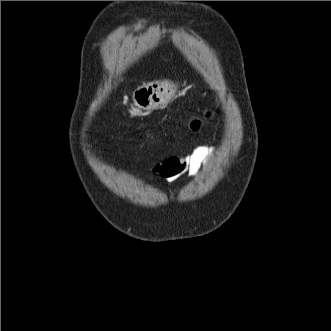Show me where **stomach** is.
Here are the masks:
<instances>
[{"mask_svg": "<svg viewBox=\"0 0 331 331\" xmlns=\"http://www.w3.org/2000/svg\"><path fill=\"white\" fill-rule=\"evenodd\" d=\"M176 92L169 81H152L138 86L133 92V104L141 110L152 111L165 106Z\"/></svg>", "mask_w": 331, "mask_h": 331, "instance_id": "0dacf381", "label": "stomach"}]
</instances>
